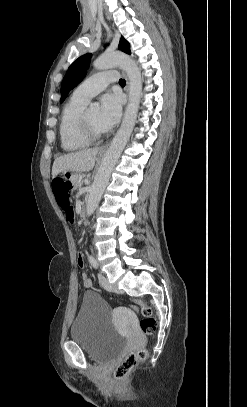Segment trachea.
<instances>
[{
    "instance_id": "obj_1",
    "label": "trachea",
    "mask_w": 247,
    "mask_h": 407,
    "mask_svg": "<svg viewBox=\"0 0 247 407\" xmlns=\"http://www.w3.org/2000/svg\"><path fill=\"white\" fill-rule=\"evenodd\" d=\"M119 84H121V85H125V84H126V82H125V80H124V79H120V80H119Z\"/></svg>"
}]
</instances>
